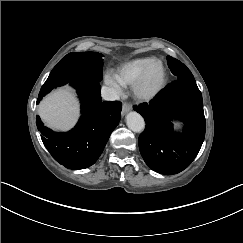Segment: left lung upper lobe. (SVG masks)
I'll use <instances>...</instances> for the list:
<instances>
[{"mask_svg":"<svg viewBox=\"0 0 243 243\" xmlns=\"http://www.w3.org/2000/svg\"><path fill=\"white\" fill-rule=\"evenodd\" d=\"M168 66L178 80H195L190 70L179 60L167 56Z\"/></svg>","mask_w":243,"mask_h":243,"instance_id":"left-lung-upper-lobe-1","label":"left lung upper lobe"}]
</instances>
